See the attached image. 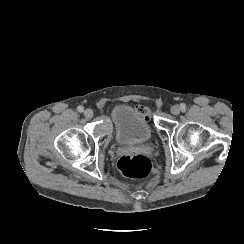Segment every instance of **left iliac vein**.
Masks as SVG:
<instances>
[{
    "instance_id": "1",
    "label": "left iliac vein",
    "mask_w": 244,
    "mask_h": 244,
    "mask_svg": "<svg viewBox=\"0 0 244 244\" xmlns=\"http://www.w3.org/2000/svg\"><path fill=\"white\" fill-rule=\"evenodd\" d=\"M170 111H171L172 114H174V115H178V114L180 113L181 109H180L179 106L174 105V106H172V107L170 108Z\"/></svg>"
}]
</instances>
